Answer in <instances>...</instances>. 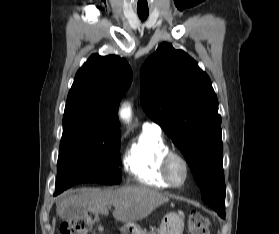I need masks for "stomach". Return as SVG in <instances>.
Wrapping results in <instances>:
<instances>
[{"mask_svg": "<svg viewBox=\"0 0 279 234\" xmlns=\"http://www.w3.org/2000/svg\"><path fill=\"white\" fill-rule=\"evenodd\" d=\"M122 234H147L135 222H127L121 227ZM184 230V216L180 213H167L160 224L158 234H182Z\"/></svg>", "mask_w": 279, "mask_h": 234, "instance_id": "obj_1", "label": "stomach"}]
</instances>
